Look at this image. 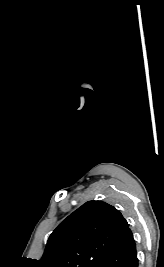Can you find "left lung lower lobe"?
I'll list each match as a JSON object with an SVG mask.
<instances>
[{
  "label": "left lung lower lobe",
  "instance_id": "0a47b994",
  "mask_svg": "<svg viewBox=\"0 0 164 267\" xmlns=\"http://www.w3.org/2000/svg\"><path fill=\"white\" fill-rule=\"evenodd\" d=\"M99 267H138L135 241L129 227Z\"/></svg>",
  "mask_w": 164,
  "mask_h": 267
}]
</instances>
